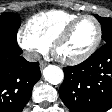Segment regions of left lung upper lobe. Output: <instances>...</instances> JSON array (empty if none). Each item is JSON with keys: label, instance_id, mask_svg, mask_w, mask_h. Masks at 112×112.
<instances>
[{"label": "left lung upper lobe", "instance_id": "5c2ea615", "mask_svg": "<svg viewBox=\"0 0 112 112\" xmlns=\"http://www.w3.org/2000/svg\"><path fill=\"white\" fill-rule=\"evenodd\" d=\"M102 27V38L105 43L112 42V18L95 15Z\"/></svg>", "mask_w": 112, "mask_h": 112}]
</instances>
